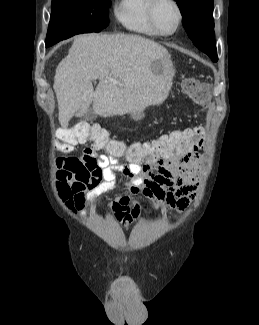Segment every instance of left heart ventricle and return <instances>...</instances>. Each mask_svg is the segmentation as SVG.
Returning a JSON list of instances; mask_svg holds the SVG:
<instances>
[{"label":"left heart ventricle","mask_w":259,"mask_h":325,"mask_svg":"<svg viewBox=\"0 0 259 325\" xmlns=\"http://www.w3.org/2000/svg\"><path fill=\"white\" fill-rule=\"evenodd\" d=\"M155 20L161 31L171 32L178 21L175 6L168 0H162L156 7Z\"/></svg>","instance_id":"1"}]
</instances>
